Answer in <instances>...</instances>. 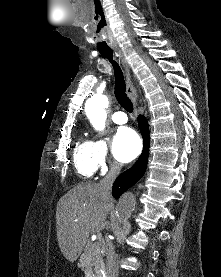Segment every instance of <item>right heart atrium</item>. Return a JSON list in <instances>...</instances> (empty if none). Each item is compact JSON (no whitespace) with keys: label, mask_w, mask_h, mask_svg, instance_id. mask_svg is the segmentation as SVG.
Returning <instances> with one entry per match:
<instances>
[{"label":"right heart atrium","mask_w":221,"mask_h":277,"mask_svg":"<svg viewBox=\"0 0 221 277\" xmlns=\"http://www.w3.org/2000/svg\"><path fill=\"white\" fill-rule=\"evenodd\" d=\"M92 144L93 158L96 168L101 172H106L109 169L115 168L116 165L110 157L107 140L102 137H98L92 141Z\"/></svg>","instance_id":"right-heart-atrium-1"}]
</instances>
